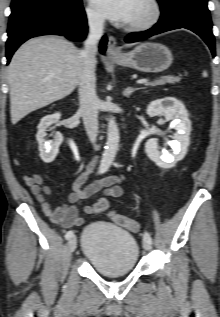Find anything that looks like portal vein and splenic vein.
<instances>
[{
  "label": "portal vein and splenic vein",
  "instance_id": "1",
  "mask_svg": "<svg viewBox=\"0 0 220 317\" xmlns=\"http://www.w3.org/2000/svg\"><path fill=\"white\" fill-rule=\"evenodd\" d=\"M137 83H138V84H147V83H148V79H140V80H137Z\"/></svg>",
  "mask_w": 220,
  "mask_h": 317
}]
</instances>
